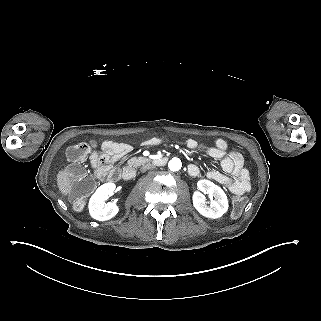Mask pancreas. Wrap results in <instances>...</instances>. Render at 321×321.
I'll list each match as a JSON object with an SVG mask.
<instances>
[{
	"label": "pancreas",
	"mask_w": 321,
	"mask_h": 321,
	"mask_svg": "<svg viewBox=\"0 0 321 321\" xmlns=\"http://www.w3.org/2000/svg\"><path fill=\"white\" fill-rule=\"evenodd\" d=\"M149 162L148 158L145 157H133L128 161V164L130 165H135V166H139L143 163Z\"/></svg>",
	"instance_id": "cf45deb5"
}]
</instances>
